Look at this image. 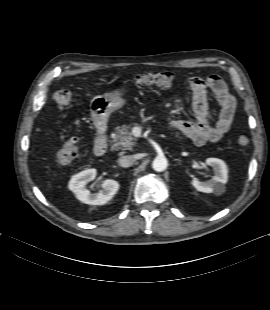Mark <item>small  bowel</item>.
Listing matches in <instances>:
<instances>
[{
  "label": "small bowel",
  "mask_w": 270,
  "mask_h": 310,
  "mask_svg": "<svg viewBox=\"0 0 270 310\" xmlns=\"http://www.w3.org/2000/svg\"><path fill=\"white\" fill-rule=\"evenodd\" d=\"M187 84L192 92L195 120L174 121L170 126L190 138L197 146L218 141L231 127L236 106L234 97L224 80L217 75H210L205 79L190 77ZM208 90L214 94L220 108L219 116L214 123L209 121Z\"/></svg>",
  "instance_id": "obj_1"
}]
</instances>
